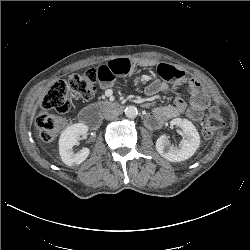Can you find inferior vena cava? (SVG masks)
Returning <instances> with one entry per match:
<instances>
[{"label":"inferior vena cava","mask_w":250,"mask_h":250,"mask_svg":"<svg viewBox=\"0 0 250 250\" xmlns=\"http://www.w3.org/2000/svg\"><path fill=\"white\" fill-rule=\"evenodd\" d=\"M119 115V111L116 110V109H109L106 111V113L104 114V118L106 120H113L115 119L116 117H118Z\"/></svg>","instance_id":"1"}]
</instances>
